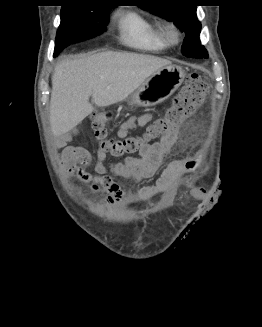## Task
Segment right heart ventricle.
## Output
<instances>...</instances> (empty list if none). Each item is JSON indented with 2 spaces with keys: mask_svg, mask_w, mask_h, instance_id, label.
Wrapping results in <instances>:
<instances>
[{
  "mask_svg": "<svg viewBox=\"0 0 262 327\" xmlns=\"http://www.w3.org/2000/svg\"><path fill=\"white\" fill-rule=\"evenodd\" d=\"M117 30L120 42L136 50L159 53L170 46L163 35L162 27L135 11L119 15Z\"/></svg>",
  "mask_w": 262,
  "mask_h": 327,
  "instance_id": "obj_1",
  "label": "right heart ventricle"
}]
</instances>
